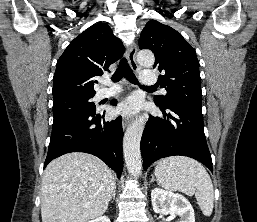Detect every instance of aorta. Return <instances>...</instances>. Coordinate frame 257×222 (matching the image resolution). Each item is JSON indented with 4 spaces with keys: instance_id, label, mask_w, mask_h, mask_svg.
I'll return each instance as SVG.
<instances>
[{
    "instance_id": "762f6f07",
    "label": "aorta",
    "mask_w": 257,
    "mask_h": 222,
    "mask_svg": "<svg viewBox=\"0 0 257 222\" xmlns=\"http://www.w3.org/2000/svg\"><path fill=\"white\" fill-rule=\"evenodd\" d=\"M137 60L140 65L145 67H152L155 62L153 53L148 50L140 51L137 55ZM145 122V117L143 115L139 116L127 128L124 135V159L128 172L134 177H139L142 173L140 141L144 130Z\"/></svg>"
}]
</instances>
